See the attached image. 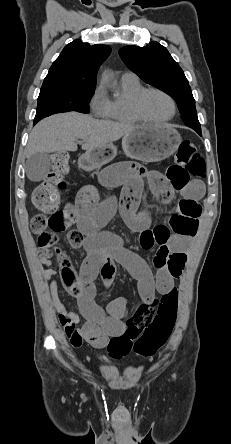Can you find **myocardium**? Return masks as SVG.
<instances>
[{"label": "myocardium", "mask_w": 231, "mask_h": 444, "mask_svg": "<svg viewBox=\"0 0 231 444\" xmlns=\"http://www.w3.org/2000/svg\"><path fill=\"white\" fill-rule=\"evenodd\" d=\"M159 93L163 96H165L171 103L172 105V113L169 117L165 118V119H160V120H155L152 119L150 117H148L142 108V102L145 98V96L149 93ZM131 109L133 114L136 116L137 119L140 120V122H145V123H149V124H163V123H167L169 121H171L176 113H177V104L174 100V98L167 93L166 91L160 89V88H156V87H150V88H143L141 91H139L133 98L132 103H131Z\"/></svg>", "instance_id": "f54148a6"}]
</instances>
